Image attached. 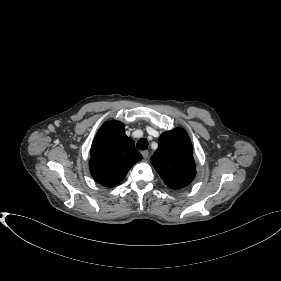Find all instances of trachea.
Instances as JSON below:
<instances>
[{
    "label": "trachea",
    "mask_w": 281,
    "mask_h": 281,
    "mask_svg": "<svg viewBox=\"0 0 281 281\" xmlns=\"http://www.w3.org/2000/svg\"><path fill=\"white\" fill-rule=\"evenodd\" d=\"M148 148V141L146 138H141L137 142V149L146 150Z\"/></svg>",
    "instance_id": "obj_1"
}]
</instances>
